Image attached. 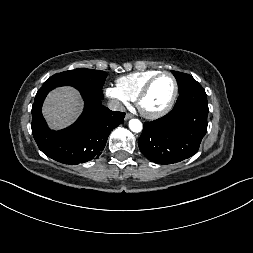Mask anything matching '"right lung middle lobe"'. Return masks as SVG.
<instances>
[{
	"label": "right lung middle lobe",
	"instance_id": "right-lung-middle-lobe-1",
	"mask_svg": "<svg viewBox=\"0 0 253 253\" xmlns=\"http://www.w3.org/2000/svg\"><path fill=\"white\" fill-rule=\"evenodd\" d=\"M106 77L107 73L104 71L78 68L51 76L43 86L55 88L70 85L78 89L80 93L102 99V87Z\"/></svg>",
	"mask_w": 253,
	"mask_h": 253
}]
</instances>
